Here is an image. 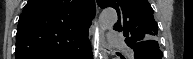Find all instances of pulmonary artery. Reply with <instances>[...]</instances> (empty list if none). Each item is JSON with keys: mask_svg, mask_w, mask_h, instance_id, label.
<instances>
[{"mask_svg": "<svg viewBox=\"0 0 193 59\" xmlns=\"http://www.w3.org/2000/svg\"><path fill=\"white\" fill-rule=\"evenodd\" d=\"M108 40H109L110 46H120L123 44L122 38L116 34L110 33L108 36ZM127 54H129L128 51H127Z\"/></svg>", "mask_w": 193, "mask_h": 59, "instance_id": "pulmonary-artery-1", "label": "pulmonary artery"}]
</instances>
